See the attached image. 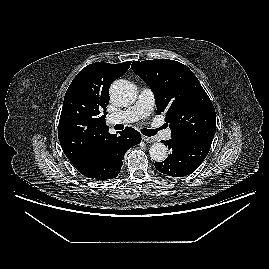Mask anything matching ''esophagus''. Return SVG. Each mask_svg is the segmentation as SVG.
I'll list each match as a JSON object with an SVG mask.
<instances>
[{"label": "esophagus", "mask_w": 269, "mask_h": 269, "mask_svg": "<svg viewBox=\"0 0 269 269\" xmlns=\"http://www.w3.org/2000/svg\"><path fill=\"white\" fill-rule=\"evenodd\" d=\"M142 139L145 141V142H148V143H153L155 142V139L153 137H149V136H145V135H142Z\"/></svg>", "instance_id": "34e87169"}]
</instances>
